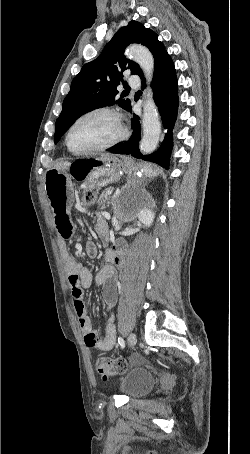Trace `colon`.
Returning a JSON list of instances; mask_svg holds the SVG:
<instances>
[{
    "label": "colon",
    "mask_w": 250,
    "mask_h": 454,
    "mask_svg": "<svg viewBox=\"0 0 250 454\" xmlns=\"http://www.w3.org/2000/svg\"><path fill=\"white\" fill-rule=\"evenodd\" d=\"M96 200V195L92 190L84 189L81 195V205L84 208L91 207ZM96 369L103 379H107L127 368V363L124 359L104 358L99 357L95 362Z\"/></svg>",
    "instance_id": "1"
}]
</instances>
